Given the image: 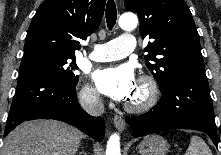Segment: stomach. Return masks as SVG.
Wrapping results in <instances>:
<instances>
[{"label": "stomach", "instance_id": "1", "mask_svg": "<svg viewBox=\"0 0 221 155\" xmlns=\"http://www.w3.org/2000/svg\"><path fill=\"white\" fill-rule=\"evenodd\" d=\"M169 148L168 142L159 135L148 136L138 145L140 155H166Z\"/></svg>", "mask_w": 221, "mask_h": 155}]
</instances>
